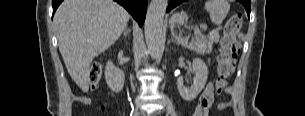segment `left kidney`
I'll use <instances>...</instances> for the list:
<instances>
[{
  "mask_svg": "<svg viewBox=\"0 0 305 116\" xmlns=\"http://www.w3.org/2000/svg\"><path fill=\"white\" fill-rule=\"evenodd\" d=\"M192 72L194 73L193 85L190 88L184 86L183 77L177 79V88L180 96L186 101L194 100L204 88L208 78V68L200 58L193 59Z\"/></svg>",
  "mask_w": 305,
  "mask_h": 116,
  "instance_id": "obj_1",
  "label": "left kidney"
}]
</instances>
